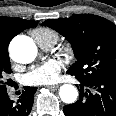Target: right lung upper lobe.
Segmentation results:
<instances>
[{
  "label": "right lung upper lobe",
  "mask_w": 116,
  "mask_h": 116,
  "mask_svg": "<svg viewBox=\"0 0 116 116\" xmlns=\"http://www.w3.org/2000/svg\"><path fill=\"white\" fill-rule=\"evenodd\" d=\"M36 25L35 21L0 16V53H8L7 49L11 39L23 30Z\"/></svg>",
  "instance_id": "cb5924a9"
}]
</instances>
